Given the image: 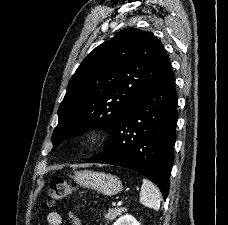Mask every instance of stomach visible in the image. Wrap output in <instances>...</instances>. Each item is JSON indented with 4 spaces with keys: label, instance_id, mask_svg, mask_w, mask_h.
Masks as SVG:
<instances>
[{
    "label": "stomach",
    "instance_id": "obj_1",
    "mask_svg": "<svg viewBox=\"0 0 228 225\" xmlns=\"http://www.w3.org/2000/svg\"><path fill=\"white\" fill-rule=\"evenodd\" d=\"M77 185H81L84 189H92L107 197L117 195L123 191V185L118 177L107 175V173H97V171H77L73 177Z\"/></svg>",
    "mask_w": 228,
    "mask_h": 225
}]
</instances>
